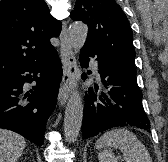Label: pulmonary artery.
<instances>
[{
  "label": "pulmonary artery",
  "mask_w": 168,
  "mask_h": 162,
  "mask_svg": "<svg viewBox=\"0 0 168 162\" xmlns=\"http://www.w3.org/2000/svg\"><path fill=\"white\" fill-rule=\"evenodd\" d=\"M92 68L94 70V74L98 77L99 72H98V62L97 61H91Z\"/></svg>",
  "instance_id": "1"
}]
</instances>
